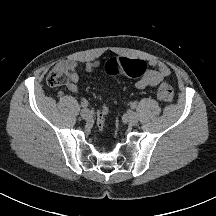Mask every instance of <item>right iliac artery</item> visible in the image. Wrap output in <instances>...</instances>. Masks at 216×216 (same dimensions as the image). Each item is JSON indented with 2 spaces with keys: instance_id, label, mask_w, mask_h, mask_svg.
Here are the masks:
<instances>
[{
  "instance_id": "1",
  "label": "right iliac artery",
  "mask_w": 216,
  "mask_h": 216,
  "mask_svg": "<svg viewBox=\"0 0 216 216\" xmlns=\"http://www.w3.org/2000/svg\"><path fill=\"white\" fill-rule=\"evenodd\" d=\"M89 105V103H88V101H83V102H81V106L83 107V108H86L87 106Z\"/></svg>"
}]
</instances>
